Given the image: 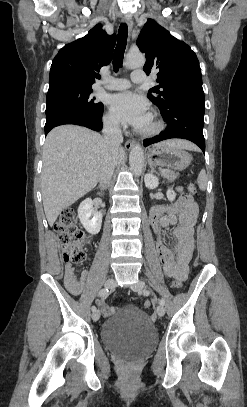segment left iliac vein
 Wrapping results in <instances>:
<instances>
[{
  "mask_svg": "<svg viewBox=\"0 0 247 407\" xmlns=\"http://www.w3.org/2000/svg\"><path fill=\"white\" fill-rule=\"evenodd\" d=\"M145 283L143 281H138L137 283L131 285V289L135 292H140L142 288H144ZM157 314L158 316L162 317L165 314V308L163 306H158L157 307Z\"/></svg>",
  "mask_w": 247,
  "mask_h": 407,
  "instance_id": "left-iliac-vein-1",
  "label": "left iliac vein"
}]
</instances>
